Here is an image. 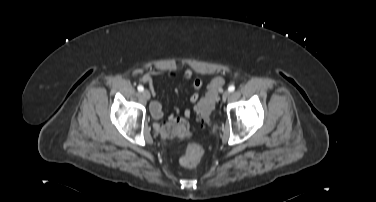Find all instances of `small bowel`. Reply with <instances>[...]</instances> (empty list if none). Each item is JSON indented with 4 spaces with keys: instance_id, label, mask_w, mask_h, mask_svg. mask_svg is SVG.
Listing matches in <instances>:
<instances>
[{
    "instance_id": "c3829d8e",
    "label": "small bowel",
    "mask_w": 376,
    "mask_h": 202,
    "mask_svg": "<svg viewBox=\"0 0 376 202\" xmlns=\"http://www.w3.org/2000/svg\"><path fill=\"white\" fill-rule=\"evenodd\" d=\"M153 76H163L167 79L170 80H177L178 74L175 70L173 69H163V70H151L147 72L144 76L141 77L140 82L143 84H147L152 92L153 95L157 94V90L154 86L153 83ZM184 78L189 80L192 78V72L190 70H187L184 73ZM192 85H193V93L189 97V101L194 104L199 100V90L203 86V81L200 78H194L192 80ZM150 111L152 116L156 119L159 120L161 119L163 115L162 111V105L158 101H152L150 105ZM191 116V110L190 109H185L183 111V117L180 115V112L177 110L175 114H172L169 116V122L174 123V122H185L184 118H189ZM186 123V122H185ZM160 125L158 123L155 124V129H159Z\"/></svg>"
}]
</instances>
